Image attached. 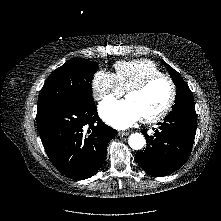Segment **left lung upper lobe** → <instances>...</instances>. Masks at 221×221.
Masks as SVG:
<instances>
[{"mask_svg": "<svg viewBox=\"0 0 221 221\" xmlns=\"http://www.w3.org/2000/svg\"><path fill=\"white\" fill-rule=\"evenodd\" d=\"M164 65H166V63H164ZM167 69L170 72L172 80L177 87L175 104L170 113L195 112L193 94L188 85L182 79L179 73L175 71L171 66L168 65Z\"/></svg>", "mask_w": 221, "mask_h": 221, "instance_id": "1", "label": "left lung upper lobe"}]
</instances>
